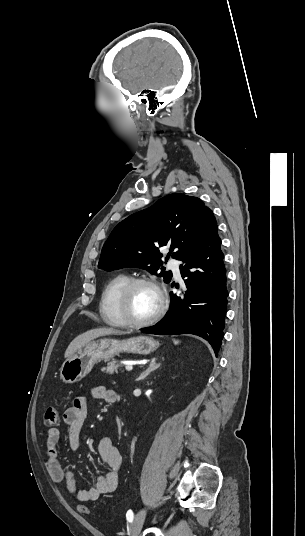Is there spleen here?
<instances>
[{
  "instance_id": "obj_1",
  "label": "spleen",
  "mask_w": 305,
  "mask_h": 536,
  "mask_svg": "<svg viewBox=\"0 0 305 536\" xmlns=\"http://www.w3.org/2000/svg\"><path fill=\"white\" fill-rule=\"evenodd\" d=\"M174 344H179L178 340H173Z\"/></svg>"
}]
</instances>
